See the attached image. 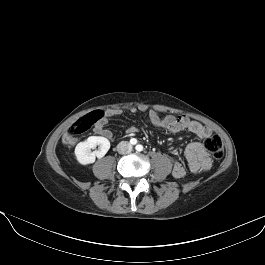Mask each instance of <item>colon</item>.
I'll list each match as a JSON object with an SVG mask.
<instances>
[{"label": "colon", "instance_id": "5ec220e1", "mask_svg": "<svg viewBox=\"0 0 265 265\" xmlns=\"http://www.w3.org/2000/svg\"><path fill=\"white\" fill-rule=\"evenodd\" d=\"M103 112L100 110L92 111L74 122L68 129L67 135L64 137L66 144L72 145L76 139L89 131L97 122L103 118ZM168 117H161L157 112H153L150 116L152 121L164 120ZM205 149L209 154L219 159L224 155V145L222 139L218 135H212L205 140Z\"/></svg>", "mask_w": 265, "mask_h": 265}]
</instances>
